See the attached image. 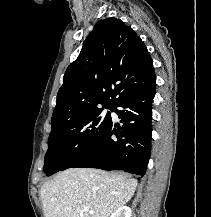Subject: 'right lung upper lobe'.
<instances>
[{
	"label": "right lung upper lobe",
	"instance_id": "obj_1",
	"mask_svg": "<svg viewBox=\"0 0 211 217\" xmlns=\"http://www.w3.org/2000/svg\"><path fill=\"white\" fill-rule=\"evenodd\" d=\"M153 73L151 56L130 26L117 18L98 21L64 74L52 128L92 111L113 109L135 83Z\"/></svg>",
	"mask_w": 211,
	"mask_h": 217
}]
</instances>
